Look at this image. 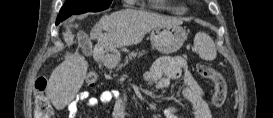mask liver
<instances>
[{"label":"liver","mask_w":273,"mask_h":118,"mask_svg":"<svg viewBox=\"0 0 273 118\" xmlns=\"http://www.w3.org/2000/svg\"><path fill=\"white\" fill-rule=\"evenodd\" d=\"M181 23V20L142 10H121L103 16L92 28L88 43L91 39H97L98 48L115 51L116 48L139 44L145 34L157 26ZM102 30L106 33H102ZM63 37L67 46L74 43L71 30L64 32ZM87 70L88 62L78 51L65 54L64 61L53 70L47 86L49 98L56 109H63L75 98Z\"/></svg>","instance_id":"liver-1"}]
</instances>
